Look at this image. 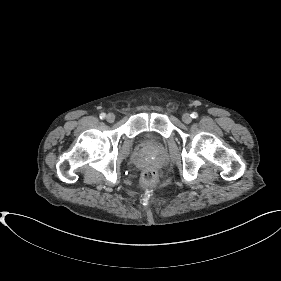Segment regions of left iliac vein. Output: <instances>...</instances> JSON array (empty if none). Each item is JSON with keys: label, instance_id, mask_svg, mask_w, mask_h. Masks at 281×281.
<instances>
[{"label": "left iliac vein", "instance_id": "4c4485c4", "mask_svg": "<svg viewBox=\"0 0 281 281\" xmlns=\"http://www.w3.org/2000/svg\"><path fill=\"white\" fill-rule=\"evenodd\" d=\"M182 120L184 123L189 124L192 121V117L189 113H185L182 116Z\"/></svg>", "mask_w": 281, "mask_h": 281}]
</instances>
